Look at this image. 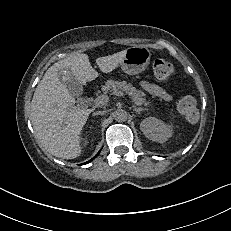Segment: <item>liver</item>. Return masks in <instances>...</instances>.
Returning a JSON list of instances; mask_svg holds the SVG:
<instances>
[{
    "mask_svg": "<svg viewBox=\"0 0 231 231\" xmlns=\"http://www.w3.org/2000/svg\"><path fill=\"white\" fill-rule=\"evenodd\" d=\"M126 50L99 57L96 64L104 73L113 71L122 62ZM72 71L81 84L98 77L89 57L76 53L54 63L38 83L31 102V121L37 138L51 155L74 159L81 154V132L92 109L78 108L75 98L61 83L58 72Z\"/></svg>",
    "mask_w": 231,
    "mask_h": 231,
    "instance_id": "1",
    "label": "liver"
}]
</instances>
